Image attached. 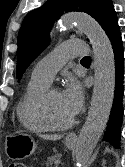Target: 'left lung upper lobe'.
I'll return each mask as SVG.
<instances>
[{
  "mask_svg": "<svg viewBox=\"0 0 125 167\" xmlns=\"http://www.w3.org/2000/svg\"><path fill=\"white\" fill-rule=\"evenodd\" d=\"M68 11L91 15L107 33L117 19L112 0H48L29 12L18 34L16 75L20 79L31 62L49 45L53 23Z\"/></svg>",
  "mask_w": 125,
  "mask_h": 167,
  "instance_id": "5c2ea615",
  "label": "left lung upper lobe"
}]
</instances>
